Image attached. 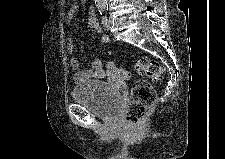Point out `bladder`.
<instances>
[{
    "label": "bladder",
    "mask_w": 225,
    "mask_h": 159,
    "mask_svg": "<svg viewBox=\"0 0 225 159\" xmlns=\"http://www.w3.org/2000/svg\"><path fill=\"white\" fill-rule=\"evenodd\" d=\"M73 101L104 120H114L121 108L118 93L107 83L99 80L76 86L72 91Z\"/></svg>",
    "instance_id": "31cf9c89"
}]
</instances>
